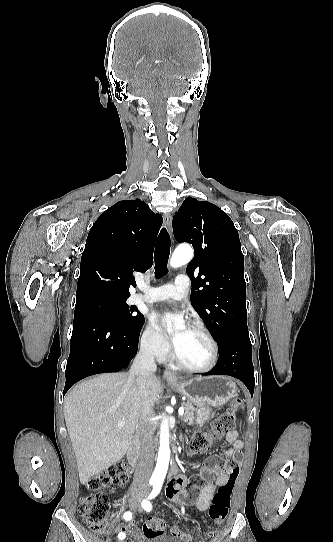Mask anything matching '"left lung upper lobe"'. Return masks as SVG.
<instances>
[{"label": "left lung upper lobe", "instance_id": "1", "mask_svg": "<svg viewBox=\"0 0 333 542\" xmlns=\"http://www.w3.org/2000/svg\"><path fill=\"white\" fill-rule=\"evenodd\" d=\"M174 237L193 245L187 266L191 303L218 348L236 331H248L244 256L233 221L219 207L188 197L173 218ZM197 273V277L194 275Z\"/></svg>", "mask_w": 333, "mask_h": 542}]
</instances>
